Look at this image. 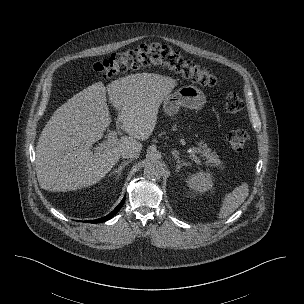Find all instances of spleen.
I'll list each match as a JSON object with an SVG mask.
<instances>
[{"instance_id":"3e777b00","label":"spleen","mask_w":304,"mask_h":304,"mask_svg":"<svg viewBox=\"0 0 304 304\" xmlns=\"http://www.w3.org/2000/svg\"><path fill=\"white\" fill-rule=\"evenodd\" d=\"M249 188L247 183H242L236 187L231 193L225 195L218 218H226L232 214L247 198Z\"/></svg>"}]
</instances>
